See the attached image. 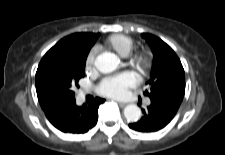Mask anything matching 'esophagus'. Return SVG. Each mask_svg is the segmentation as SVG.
Here are the masks:
<instances>
[{
  "mask_svg": "<svg viewBox=\"0 0 225 155\" xmlns=\"http://www.w3.org/2000/svg\"><path fill=\"white\" fill-rule=\"evenodd\" d=\"M117 103L120 107H125L127 105V103L125 102H117Z\"/></svg>",
  "mask_w": 225,
  "mask_h": 155,
  "instance_id": "34e87169",
  "label": "esophagus"
}]
</instances>
